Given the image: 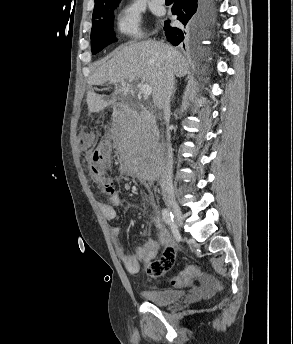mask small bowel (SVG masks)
Returning <instances> with one entry per match:
<instances>
[{
	"label": "small bowel",
	"instance_id": "1",
	"mask_svg": "<svg viewBox=\"0 0 293 344\" xmlns=\"http://www.w3.org/2000/svg\"><path fill=\"white\" fill-rule=\"evenodd\" d=\"M81 144L84 149H87L90 141L86 138H81ZM121 206H123L122 199L119 194L115 193L109 197L107 204L101 203L99 208L106 220L113 221L116 218V208ZM151 220L157 228L159 241L148 239L137 247L133 253H128L120 242V229L118 227L110 228L116 253L126 270L131 274H139L145 266L150 276L157 277L169 271L174 264L176 249L168 230L157 213L152 215ZM161 247L163 248V254L157 260L156 257ZM193 279L198 280L199 286L193 287L190 296L191 300L201 299L214 293L215 284L208 276L199 274L184 284H190Z\"/></svg>",
	"mask_w": 293,
	"mask_h": 344
}]
</instances>
